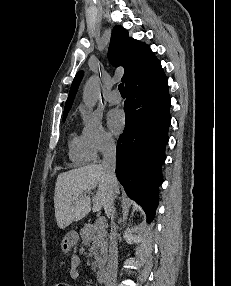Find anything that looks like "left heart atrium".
<instances>
[{
  "label": "left heart atrium",
  "mask_w": 231,
  "mask_h": 286,
  "mask_svg": "<svg viewBox=\"0 0 231 286\" xmlns=\"http://www.w3.org/2000/svg\"><path fill=\"white\" fill-rule=\"evenodd\" d=\"M125 121V115L119 109H113L108 113V126L115 134L120 133L124 129Z\"/></svg>",
  "instance_id": "1"
}]
</instances>
